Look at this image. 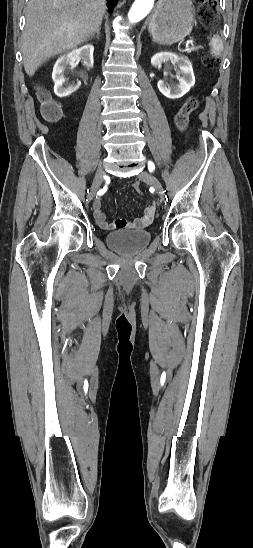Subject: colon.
I'll list each match as a JSON object with an SVG mask.
<instances>
[{"instance_id":"colon-1","label":"colon","mask_w":253,"mask_h":548,"mask_svg":"<svg viewBox=\"0 0 253 548\" xmlns=\"http://www.w3.org/2000/svg\"><path fill=\"white\" fill-rule=\"evenodd\" d=\"M199 3V16L202 22L210 26L217 16V2L216 0H198ZM204 63L208 67H214L218 64V59L214 55H208L204 59ZM39 99L42 103V114L48 120H56L60 116V108L55 103L49 93L45 90L39 91ZM198 102L196 98L190 97L186 100L184 105L178 111L176 115L177 126L184 130L188 124V118L191 113L197 108ZM134 189L138 194H142L141 185L136 182Z\"/></svg>"}]
</instances>
